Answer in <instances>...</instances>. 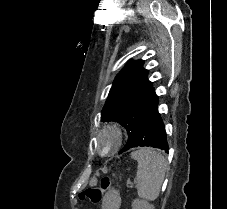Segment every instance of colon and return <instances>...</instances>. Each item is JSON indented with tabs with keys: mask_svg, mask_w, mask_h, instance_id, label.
Returning a JSON list of instances; mask_svg holds the SVG:
<instances>
[{
	"mask_svg": "<svg viewBox=\"0 0 227 209\" xmlns=\"http://www.w3.org/2000/svg\"><path fill=\"white\" fill-rule=\"evenodd\" d=\"M111 185V180L109 178L103 179L101 185L97 187H91L81 192L79 195L80 201H89L92 204H97L100 202L103 192L108 190Z\"/></svg>",
	"mask_w": 227,
	"mask_h": 209,
	"instance_id": "5ec220e1",
	"label": "colon"
}]
</instances>
